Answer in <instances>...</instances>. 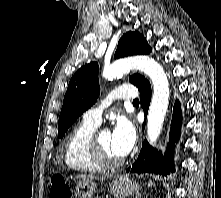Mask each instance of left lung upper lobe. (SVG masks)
I'll return each mask as SVG.
<instances>
[{
  "instance_id": "left-lung-upper-lobe-1",
  "label": "left lung upper lobe",
  "mask_w": 221,
  "mask_h": 198,
  "mask_svg": "<svg viewBox=\"0 0 221 198\" xmlns=\"http://www.w3.org/2000/svg\"><path fill=\"white\" fill-rule=\"evenodd\" d=\"M151 48L139 32H127L118 42L114 58L149 54ZM129 81L140 87L145 81L139 74L132 75ZM100 93L98 64L92 62L80 68L71 78L64 96L58 121V137L62 138L73 122L96 101Z\"/></svg>"
}]
</instances>
